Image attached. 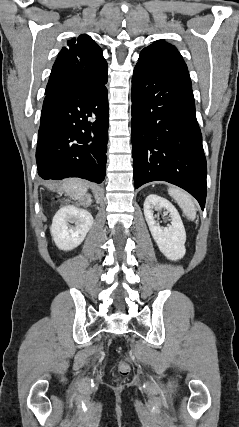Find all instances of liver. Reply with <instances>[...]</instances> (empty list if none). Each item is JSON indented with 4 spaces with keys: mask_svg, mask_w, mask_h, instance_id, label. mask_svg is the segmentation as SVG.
Masks as SVG:
<instances>
[{
    "mask_svg": "<svg viewBox=\"0 0 239 427\" xmlns=\"http://www.w3.org/2000/svg\"><path fill=\"white\" fill-rule=\"evenodd\" d=\"M61 189L64 190L66 194L82 202V205H88L91 203L90 199L86 203L83 202L84 199L88 197V184L84 180L78 178L66 179L61 183Z\"/></svg>",
    "mask_w": 239,
    "mask_h": 427,
    "instance_id": "6515ba94",
    "label": "liver"
}]
</instances>
